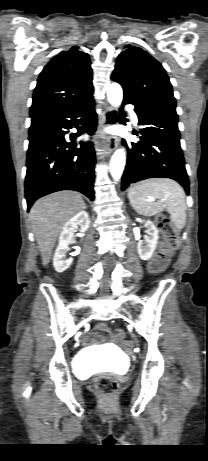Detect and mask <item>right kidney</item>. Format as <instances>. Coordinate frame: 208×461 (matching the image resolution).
I'll use <instances>...</instances> for the list:
<instances>
[{
    "mask_svg": "<svg viewBox=\"0 0 208 461\" xmlns=\"http://www.w3.org/2000/svg\"><path fill=\"white\" fill-rule=\"evenodd\" d=\"M89 225V215L85 211L79 212L64 224L59 237V244L53 258V266L57 272L65 271L72 264L73 259H66V253L69 250V245L75 242L74 232H76L78 226H80L81 232H85L88 230ZM79 252L80 248L76 247L75 254H78Z\"/></svg>",
    "mask_w": 208,
    "mask_h": 461,
    "instance_id": "ca27d5eb",
    "label": "right kidney"
}]
</instances>
